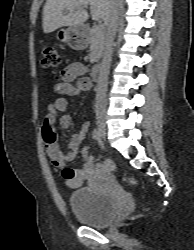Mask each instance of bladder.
Returning <instances> with one entry per match:
<instances>
[{
    "mask_svg": "<svg viewBox=\"0 0 194 250\" xmlns=\"http://www.w3.org/2000/svg\"><path fill=\"white\" fill-rule=\"evenodd\" d=\"M69 205L73 215L91 227L105 226L116 214L113 197L91 187L73 191L69 196Z\"/></svg>",
    "mask_w": 194,
    "mask_h": 250,
    "instance_id": "1",
    "label": "bladder"
}]
</instances>
